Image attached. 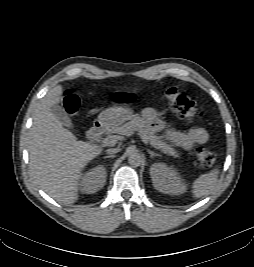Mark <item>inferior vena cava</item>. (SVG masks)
Masks as SVG:
<instances>
[{
  "instance_id": "obj_1",
  "label": "inferior vena cava",
  "mask_w": 254,
  "mask_h": 267,
  "mask_svg": "<svg viewBox=\"0 0 254 267\" xmlns=\"http://www.w3.org/2000/svg\"><path fill=\"white\" fill-rule=\"evenodd\" d=\"M119 151H120V149H118V148H111V149L107 150V153L112 155V154L118 153Z\"/></svg>"
}]
</instances>
